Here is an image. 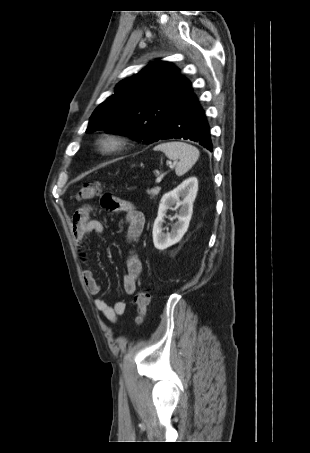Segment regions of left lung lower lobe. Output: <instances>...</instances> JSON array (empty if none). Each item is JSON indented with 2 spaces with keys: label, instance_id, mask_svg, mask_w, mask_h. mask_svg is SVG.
I'll use <instances>...</instances> for the list:
<instances>
[{
  "label": "left lung lower lobe",
  "instance_id": "left-lung-lower-lobe-1",
  "mask_svg": "<svg viewBox=\"0 0 310 453\" xmlns=\"http://www.w3.org/2000/svg\"><path fill=\"white\" fill-rule=\"evenodd\" d=\"M209 123L191 83L188 81L171 119L160 137L190 139L212 151Z\"/></svg>",
  "mask_w": 310,
  "mask_h": 453
}]
</instances>
